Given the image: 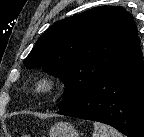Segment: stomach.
<instances>
[{
    "label": "stomach",
    "instance_id": "stomach-1",
    "mask_svg": "<svg viewBox=\"0 0 144 137\" xmlns=\"http://www.w3.org/2000/svg\"><path fill=\"white\" fill-rule=\"evenodd\" d=\"M49 137H80L79 133L68 123L58 122L49 130Z\"/></svg>",
    "mask_w": 144,
    "mask_h": 137
}]
</instances>
